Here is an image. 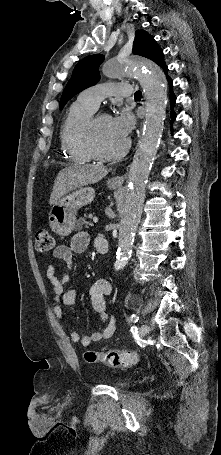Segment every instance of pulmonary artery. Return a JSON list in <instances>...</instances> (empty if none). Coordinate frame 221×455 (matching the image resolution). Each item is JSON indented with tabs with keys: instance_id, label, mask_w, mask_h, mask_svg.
<instances>
[{
	"instance_id": "obj_1",
	"label": "pulmonary artery",
	"mask_w": 221,
	"mask_h": 455,
	"mask_svg": "<svg viewBox=\"0 0 221 455\" xmlns=\"http://www.w3.org/2000/svg\"><path fill=\"white\" fill-rule=\"evenodd\" d=\"M132 93V86L128 83L106 82L86 88L79 96L85 103L89 104L94 109H97L100 102L107 96H129Z\"/></svg>"
}]
</instances>
